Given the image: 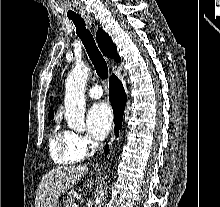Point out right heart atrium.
I'll return each instance as SVG.
<instances>
[{
  "mask_svg": "<svg viewBox=\"0 0 220 207\" xmlns=\"http://www.w3.org/2000/svg\"><path fill=\"white\" fill-rule=\"evenodd\" d=\"M75 141L80 148H82L85 152L92 147V141L86 136L78 133H74Z\"/></svg>",
  "mask_w": 220,
  "mask_h": 207,
  "instance_id": "d8ad5b80",
  "label": "right heart atrium"
}]
</instances>
